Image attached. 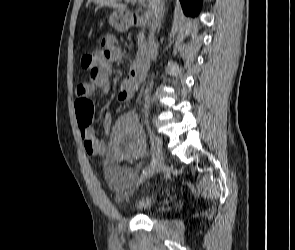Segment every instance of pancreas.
I'll return each mask as SVG.
<instances>
[{"label":"pancreas","mask_w":295,"mask_h":250,"mask_svg":"<svg viewBox=\"0 0 295 250\" xmlns=\"http://www.w3.org/2000/svg\"><path fill=\"white\" fill-rule=\"evenodd\" d=\"M137 39H138V51L139 54H142L145 52L146 48H147V42L145 40V34L143 31L139 32V34L137 35Z\"/></svg>","instance_id":"cf45deb5"}]
</instances>
